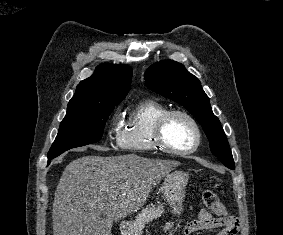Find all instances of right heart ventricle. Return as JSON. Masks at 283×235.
I'll list each match as a JSON object with an SVG mask.
<instances>
[{
  "mask_svg": "<svg viewBox=\"0 0 283 235\" xmlns=\"http://www.w3.org/2000/svg\"><path fill=\"white\" fill-rule=\"evenodd\" d=\"M168 107L154 99L138 102L128 113L127 120L118 134V145L124 150L149 153L157 150L154 142V126Z\"/></svg>",
  "mask_w": 283,
  "mask_h": 235,
  "instance_id": "obj_1",
  "label": "right heart ventricle"
}]
</instances>
